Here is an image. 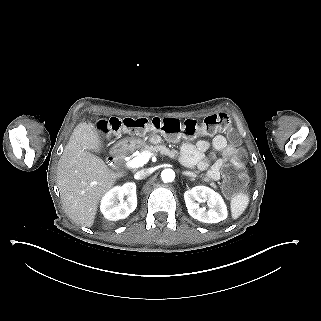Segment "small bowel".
Wrapping results in <instances>:
<instances>
[{
  "instance_id": "1",
  "label": "small bowel",
  "mask_w": 321,
  "mask_h": 321,
  "mask_svg": "<svg viewBox=\"0 0 321 321\" xmlns=\"http://www.w3.org/2000/svg\"><path fill=\"white\" fill-rule=\"evenodd\" d=\"M158 141L159 138L156 137ZM212 146L215 153H219L222 157L216 154L210 157L206 156V152ZM230 148L226 138L218 135L212 140L210 144L206 140H199L196 143H184L181 146L182 160L188 166H196L199 170H207L209 178L218 180L221 175V170L226 161V154Z\"/></svg>"
}]
</instances>
